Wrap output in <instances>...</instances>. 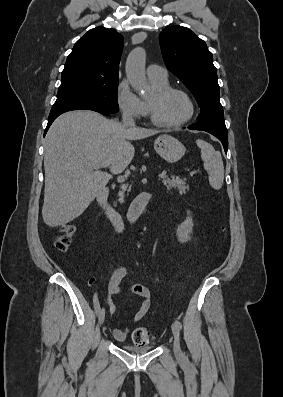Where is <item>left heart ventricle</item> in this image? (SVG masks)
<instances>
[{
  "instance_id": "b2bd125f",
  "label": "left heart ventricle",
  "mask_w": 283,
  "mask_h": 397,
  "mask_svg": "<svg viewBox=\"0 0 283 397\" xmlns=\"http://www.w3.org/2000/svg\"><path fill=\"white\" fill-rule=\"evenodd\" d=\"M189 113V101L184 95L180 93L170 94L158 106L159 118L162 121L168 123L181 121L185 119L189 115Z\"/></svg>"
}]
</instances>
